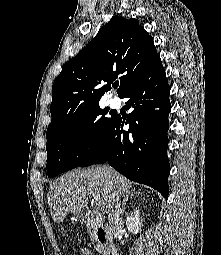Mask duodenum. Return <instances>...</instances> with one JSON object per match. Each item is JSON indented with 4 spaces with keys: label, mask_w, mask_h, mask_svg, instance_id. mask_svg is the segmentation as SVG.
Listing matches in <instances>:
<instances>
[{
    "label": "duodenum",
    "mask_w": 221,
    "mask_h": 255,
    "mask_svg": "<svg viewBox=\"0 0 221 255\" xmlns=\"http://www.w3.org/2000/svg\"><path fill=\"white\" fill-rule=\"evenodd\" d=\"M79 219L92 226L96 241L103 247L104 255H119L116 246L108 241L104 225L97 215L91 211H83L79 213Z\"/></svg>",
    "instance_id": "obj_1"
}]
</instances>
